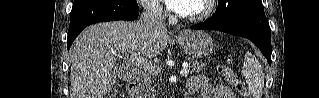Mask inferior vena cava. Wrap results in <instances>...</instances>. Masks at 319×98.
Masks as SVG:
<instances>
[{
	"label": "inferior vena cava",
	"instance_id": "obj_1",
	"mask_svg": "<svg viewBox=\"0 0 319 98\" xmlns=\"http://www.w3.org/2000/svg\"><path fill=\"white\" fill-rule=\"evenodd\" d=\"M143 13L140 16V24L144 31L160 33L166 31L162 8L154 0H145L142 4Z\"/></svg>",
	"mask_w": 319,
	"mask_h": 98
}]
</instances>
